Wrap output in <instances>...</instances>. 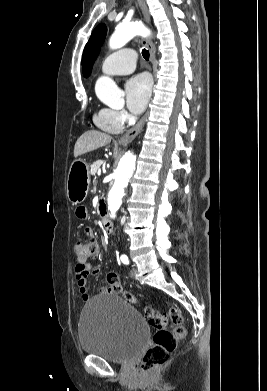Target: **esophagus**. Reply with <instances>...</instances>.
<instances>
[{"instance_id": "obj_1", "label": "esophagus", "mask_w": 267, "mask_h": 391, "mask_svg": "<svg viewBox=\"0 0 267 391\" xmlns=\"http://www.w3.org/2000/svg\"><path fill=\"white\" fill-rule=\"evenodd\" d=\"M137 4L140 8V11H141L143 17H144V20L146 21L147 24H149L150 23V16H149V12H148V9H147V6H146L144 0H137ZM142 43L144 46H146L149 49L151 61L154 62L155 61V48H154L151 40L144 39ZM146 117H147V113L142 117V119L132 129H130L123 137H121L118 140V143L121 145H126L131 140H133L138 135V133L142 130L144 122L146 120Z\"/></svg>"}]
</instances>
